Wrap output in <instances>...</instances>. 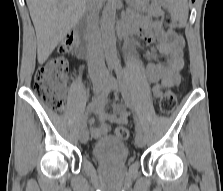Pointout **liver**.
<instances>
[{
    "mask_svg": "<svg viewBox=\"0 0 223 191\" xmlns=\"http://www.w3.org/2000/svg\"><path fill=\"white\" fill-rule=\"evenodd\" d=\"M37 36V58L43 64L83 16L87 0H26Z\"/></svg>",
    "mask_w": 223,
    "mask_h": 191,
    "instance_id": "6515ba94",
    "label": "liver"
}]
</instances>
